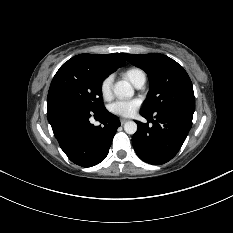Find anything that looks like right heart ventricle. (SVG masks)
Returning <instances> with one entry per match:
<instances>
[{"label": "right heart ventricle", "instance_id": "right-heart-ventricle-1", "mask_svg": "<svg viewBox=\"0 0 233 233\" xmlns=\"http://www.w3.org/2000/svg\"><path fill=\"white\" fill-rule=\"evenodd\" d=\"M123 76L133 85L137 86L140 82L146 80L145 72L138 67H130L123 72Z\"/></svg>", "mask_w": 233, "mask_h": 233}]
</instances>
